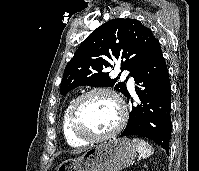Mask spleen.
Returning <instances> with one entry per match:
<instances>
[{
  "instance_id": "obj_1",
  "label": "spleen",
  "mask_w": 199,
  "mask_h": 171,
  "mask_svg": "<svg viewBox=\"0 0 199 171\" xmlns=\"http://www.w3.org/2000/svg\"><path fill=\"white\" fill-rule=\"evenodd\" d=\"M133 143L136 145V149L140 156L147 158L153 154V148L143 139L134 138Z\"/></svg>"
}]
</instances>
